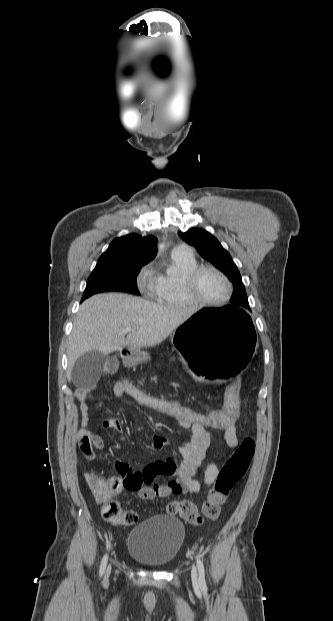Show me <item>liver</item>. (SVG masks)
I'll list each match as a JSON object with an SVG mask.
<instances>
[{
  "label": "liver",
  "instance_id": "liver-1",
  "mask_svg": "<svg viewBox=\"0 0 333 621\" xmlns=\"http://www.w3.org/2000/svg\"><path fill=\"white\" fill-rule=\"evenodd\" d=\"M193 312L187 308L165 306L122 293L95 295L84 301L69 335L67 378L77 359L90 351L103 355L128 346L152 347L164 341ZM132 328L127 337L122 333Z\"/></svg>",
  "mask_w": 333,
  "mask_h": 621
}]
</instances>
